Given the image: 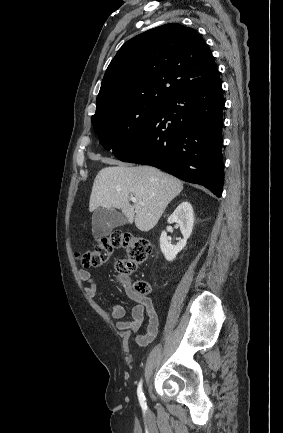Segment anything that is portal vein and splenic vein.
Masks as SVG:
<instances>
[{"instance_id": "18ae733b", "label": "portal vein and splenic vein", "mask_w": 283, "mask_h": 433, "mask_svg": "<svg viewBox=\"0 0 283 433\" xmlns=\"http://www.w3.org/2000/svg\"><path fill=\"white\" fill-rule=\"evenodd\" d=\"M132 202H136V198H134V196H130ZM140 204H144V202H140Z\"/></svg>"}]
</instances>
